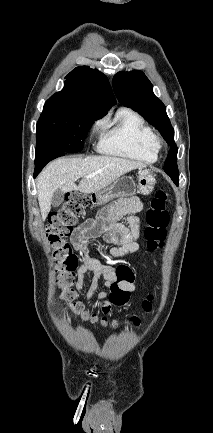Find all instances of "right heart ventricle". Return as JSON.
Listing matches in <instances>:
<instances>
[{
    "label": "right heart ventricle",
    "mask_w": 213,
    "mask_h": 433,
    "mask_svg": "<svg viewBox=\"0 0 213 433\" xmlns=\"http://www.w3.org/2000/svg\"><path fill=\"white\" fill-rule=\"evenodd\" d=\"M98 149L108 155L152 163L158 159L157 137L144 119L129 109L118 111L111 123H105Z\"/></svg>",
    "instance_id": "right-heart-ventricle-1"
}]
</instances>
